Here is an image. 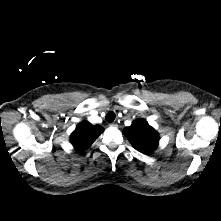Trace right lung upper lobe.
Masks as SVG:
<instances>
[{
  "label": "right lung upper lobe",
  "mask_w": 221,
  "mask_h": 221,
  "mask_svg": "<svg viewBox=\"0 0 221 221\" xmlns=\"http://www.w3.org/2000/svg\"><path fill=\"white\" fill-rule=\"evenodd\" d=\"M102 132L103 128L100 125L83 121L71 134L70 141L76 150L85 151Z\"/></svg>",
  "instance_id": "obj_1"
}]
</instances>
